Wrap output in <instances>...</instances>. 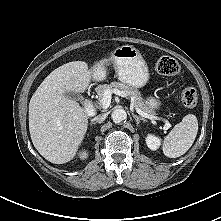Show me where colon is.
<instances>
[{
	"label": "colon",
	"instance_id": "colon-1",
	"mask_svg": "<svg viewBox=\"0 0 221 221\" xmlns=\"http://www.w3.org/2000/svg\"><path fill=\"white\" fill-rule=\"evenodd\" d=\"M156 70L161 75L174 76L179 73L180 65L170 56H161L156 62ZM181 101L186 108H195L198 104V93L192 87H187L182 91Z\"/></svg>",
	"mask_w": 221,
	"mask_h": 221
}]
</instances>
